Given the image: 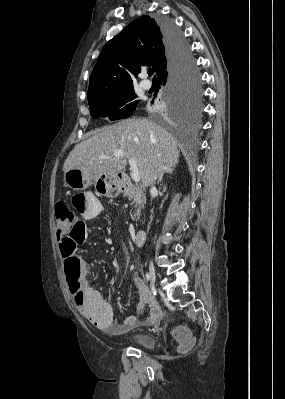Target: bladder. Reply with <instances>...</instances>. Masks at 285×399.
Segmentation results:
<instances>
[{
  "mask_svg": "<svg viewBox=\"0 0 285 399\" xmlns=\"http://www.w3.org/2000/svg\"><path fill=\"white\" fill-rule=\"evenodd\" d=\"M128 343L139 346L145 349L154 348V339L150 333H136L133 334L129 339Z\"/></svg>",
  "mask_w": 285,
  "mask_h": 399,
  "instance_id": "bladder-1",
  "label": "bladder"
}]
</instances>
